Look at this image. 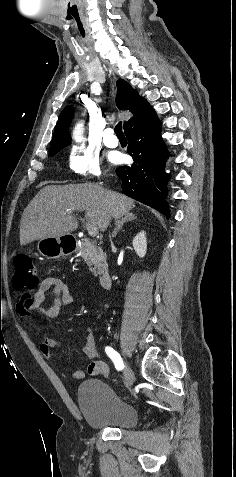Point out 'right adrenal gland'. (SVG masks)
Segmentation results:
<instances>
[{"instance_id":"1","label":"right adrenal gland","mask_w":236,"mask_h":477,"mask_svg":"<svg viewBox=\"0 0 236 477\" xmlns=\"http://www.w3.org/2000/svg\"><path fill=\"white\" fill-rule=\"evenodd\" d=\"M136 219V216L129 212L128 214H126L121 220L119 221H116V228L115 230L113 231V234H112V237H116L117 233L122 229L123 225L128 222V221H133Z\"/></svg>"}]
</instances>
